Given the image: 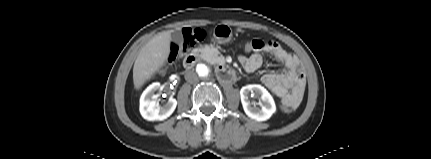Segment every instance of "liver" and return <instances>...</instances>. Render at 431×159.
Segmentation results:
<instances>
[{"label":"liver","instance_id":"1","mask_svg":"<svg viewBox=\"0 0 431 159\" xmlns=\"http://www.w3.org/2000/svg\"><path fill=\"white\" fill-rule=\"evenodd\" d=\"M171 31L153 37L139 52L133 67V83L139 90L161 67L170 54Z\"/></svg>","mask_w":431,"mask_h":159}]
</instances>
